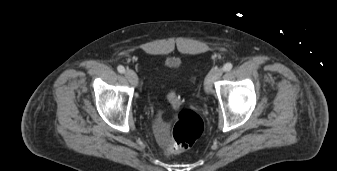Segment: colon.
<instances>
[{
	"mask_svg": "<svg viewBox=\"0 0 337 171\" xmlns=\"http://www.w3.org/2000/svg\"><path fill=\"white\" fill-rule=\"evenodd\" d=\"M168 99L171 105L177 110L174 117L172 136L170 143L166 136L159 132V139L166 146L168 154L176 153L188 149L202 135L204 131V122L202 118L194 111L180 109V99L170 93Z\"/></svg>",
	"mask_w": 337,
	"mask_h": 171,
	"instance_id": "colon-1",
	"label": "colon"
}]
</instances>
